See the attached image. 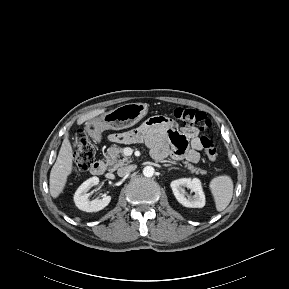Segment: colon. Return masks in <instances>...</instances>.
Instances as JSON below:
<instances>
[{"label":"colon","mask_w":289,"mask_h":289,"mask_svg":"<svg viewBox=\"0 0 289 289\" xmlns=\"http://www.w3.org/2000/svg\"><path fill=\"white\" fill-rule=\"evenodd\" d=\"M173 117L180 123L189 126H198L199 130H208L212 122L207 115L199 110L192 108H176L173 111ZM94 127L91 126L92 130ZM203 149L207 159L211 162L217 160V151L215 147V141L208 134H204L201 138ZM74 157H73V171L80 173L86 171L94 161L95 149L92 142L89 140L87 131L79 129L74 137Z\"/></svg>","instance_id":"1"}]
</instances>
